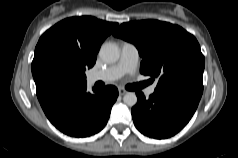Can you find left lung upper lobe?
<instances>
[{
  "instance_id": "left-lung-upper-lobe-1",
  "label": "left lung upper lobe",
  "mask_w": 238,
  "mask_h": 158,
  "mask_svg": "<svg viewBox=\"0 0 238 158\" xmlns=\"http://www.w3.org/2000/svg\"><path fill=\"white\" fill-rule=\"evenodd\" d=\"M133 43L141 73L158 80L156 89L190 81L203 82L205 59L196 38L178 25L158 20L123 23L113 34Z\"/></svg>"
}]
</instances>
